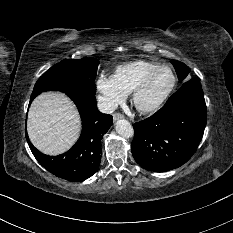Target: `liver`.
Masks as SVG:
<instances>
[{"label":"liver","mask_w":233,"mask_h":233,"mask_svg":"<svg viewBox=\"0 0 233 233\" xmlns=\"http://www.w3.org/2000/svg\"><path fill=\"white\" fill-rule=\"evenodd\" d=\"M27 131L38 150L47 155H59L78 139L81 120L75 105L65 94L45 92L30 106Z\"/></svg>","instance_id":"1"}]
</instances>
